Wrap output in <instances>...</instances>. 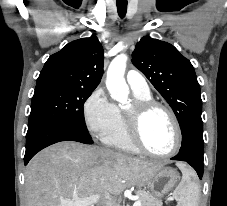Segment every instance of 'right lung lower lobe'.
<instances>
[{
	"mask_svg": "<svg viewBox=\"0 0 227 206\" xmlns=\"http://www.w3.org/2000/svg\"><path fill=\"white\" fill-rule=\"evenodd\" d=\"M77 141L92 144L93 141L87 132L66 124L47 122L28 130L26 135V152L24 164L43 148L60 141Z\"/></svg>",
	"mask_w": 227,
	"mask_h": 206,
	"instance_id": "98d812e1",
	"label": "right lung lower lobe"
}]
</instances>
